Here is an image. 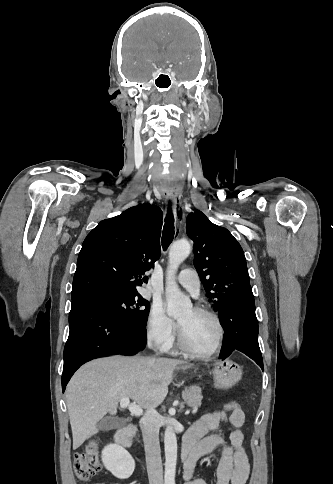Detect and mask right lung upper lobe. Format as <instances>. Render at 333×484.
Listing matches in <instances>:
<instances>
[{
  "label": "right lung upper lobe",
  "mask_w": 333,
  "mask_h": 484,
  "mask_svg": "<svg viewBox=\"0 0 333 484\" xmlns=\"http://www.w3.org/2000/svg\"><path fill=\"white\" fill-rule=\"evenodd\" d=\"M162 211L148 203L101 221L85 238L77 260L72 298L95 291L137 293L142 275L160 257Z\"/></svg>",
  "instance_id": "right-lung-upper-lobe-1"
}]
</instances>
